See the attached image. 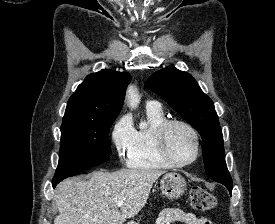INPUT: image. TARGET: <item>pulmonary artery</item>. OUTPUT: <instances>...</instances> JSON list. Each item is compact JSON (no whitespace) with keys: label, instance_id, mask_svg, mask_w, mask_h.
<instances>
[{"label":"pulmonary artery","instance_id":"pulmonary-artery-1","mask_svg":"<svg viewBox=\"0 0 275 224\" xmlns=\"http://www.w3.org/2000/svg\"><path fill=\"white\" fill-rule=\"evenodd\" d=\"M146 107L147 108H160L161 105L159 102L155 101V100H151V101H148L147 104H146Z\"/></svg>","mask_w":275,"mask_h":224}]
</instances>
